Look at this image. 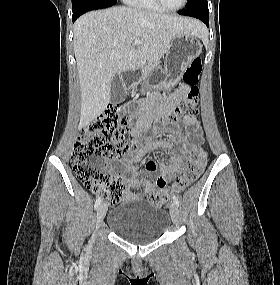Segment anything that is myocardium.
Wrapping results in <instances>:
<instances>
[{
	"instance_id": "obj_1",
	"label": "myocardium",
	"mask_w": 280,
	"mask_h": 285,
	"mask_svg": "<svg viewBox=\"0 0 280 285\" xmlns=\"http://www.w3.org/2000/svg\"><path fill=\"white\" fill-rule=\"evenodd\" d=\"M155 2L158 4V6L166 12H177L180 11L181 9H183L187 3V0H182L181 4L176 7V8H169L167 7L162 0H155Z\"/></svg>"
}]
</instances>
